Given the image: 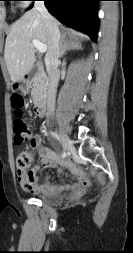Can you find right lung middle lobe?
<instances>
[{
  "label": "right lung middle lobe",
  "instance_id": "dd1d6c3e",
  "mask_svg": "<svg viewBox=\"0 0 133 253\" xmlns=\"http://www.w3.org/2000/svg\"><path fill=\"white\" fill-rule=\"evenodd\" d=\"M4 1H16V0H4Z\"/></svg>",
  "mask_w": 133,
  "mask_h": 253
}]
</instances>
